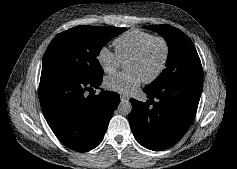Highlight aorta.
<instances>
[{"mask_svg":"<svg viewBox=\"0 0 237 169\" xmlns=\"http://www.w3.org/2000/svg\"><path fill=\"white\" fill-rule=\"evenodd\" d=\"M132 110V105L128 100L121 101L117 107V111L121 115H129Z\"/></svg>","mask_w":237,"mask_h":169,"instance_id":"762f6f07","label":"aorta"}]
</instances>
